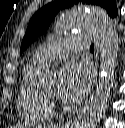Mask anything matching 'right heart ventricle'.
I'll return each mask as SVG.
<instances>
[{
    "label": "right heart ventricle",
    "mask_w": 125,
    "mask_h": 128,
    "mask_svg": "<svg viewBox=\"0 0 125 128\" xmlns=\"http://www.w3.org/2000/svg\"><path fill=\"white\" fill-rule=\"evenodd\" d=\"M42 67L29 62L23 70L17 98L20 115L29 121L47 122L53 117L52 104L45 98L35 81Z\"/></svg>",
    "instance_id": "obj_1"
}]
</instances>
